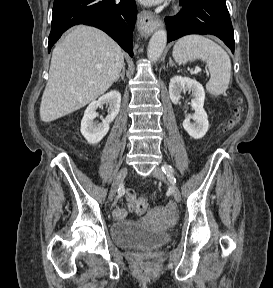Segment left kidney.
Listing matches in <instances>:
<instances>
[{
    "instance_id": "1",
    "label": "left kidney",
    "mask_w": 273,
    "mask_h": 288,
    "mask_svg": "<svg viewBox=\"0 0 273 288\" xmlns=\"http://www.w3.org/2000/svg\"><path fill=\"white\" fill-rule=\"evenodd\" d=\"M192 91L193 100L191 106L195 113L190 116L186 115L183 121V128L194 139H201L204 137L209 128L208 116L205 112L204 100L205 91L203 86L195 79L189 77L174 76L170 80L169 95L174 104H179L182 91ZM193 119L192 123L190 120Z\"/></svg>"
}]
</instances>
